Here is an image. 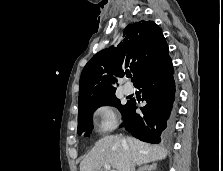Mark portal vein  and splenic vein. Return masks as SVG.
I'll use <instances>...</instances> for the list:
<instances>
[{"instance_id": "1", "label": "portal vein and splenic vein", "mask_w": 223, "mask_h": 171, "mask_svg": "<svg viewBox=\"0 0 223 171\" xmlns=\"http://www.w3.org/2000/svg\"><path fill=\"white\" fill-rule=\"evenodd\" d=\"M104 168H105L106 171H116V170H112L111 166L109 164H105Z\"/></svg>"}]
</instances>
